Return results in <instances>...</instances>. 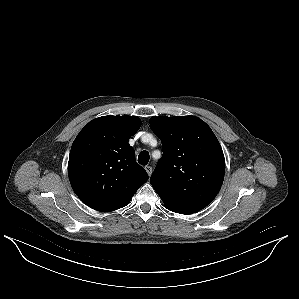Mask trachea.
Returning <instances> with one entry per match:
<instances>
[{
	"label": "trachea",
	"instance_id": "trachea-1",
	"mask_svg": "<svg viewBox=\"0 0 299 299\" xmlns=\"http://www.w3.org/2000/svg\"><path fill=\"white\" fill-rule=\"evenodd\" d=\"M150 156L147 151H142L138 156V162L141 165H146L149 162Z\"/></svg>",
	"mask_w": 299,
	"mask_h": 299
}]
</instances>
